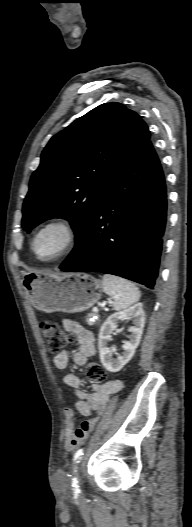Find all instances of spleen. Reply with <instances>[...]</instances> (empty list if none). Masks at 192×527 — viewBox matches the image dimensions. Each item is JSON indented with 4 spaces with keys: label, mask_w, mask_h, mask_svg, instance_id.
Segmentation results:
<instances>
[{
    "label": "spleen",
    "mask_w": 192,
    "mask_h": 527,
    "mask_svg": "<svg viewBox=\"0 0 192 527\" xmlns=\"http://www.w3.org/2000/svg\"><path fill=\"white\" fill-rule=\"evenodd\" d=\"M103 291L113 298L112 306L116 311L126 309L139 301L141 293L134 283L114 275H104Z\"/></svg>",
    "instance_id": "3e777b00"
}]
</instances>
